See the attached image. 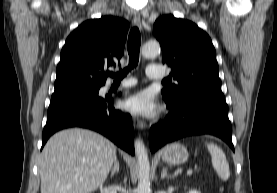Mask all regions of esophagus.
I'll list each match as a JSON object with an SVG mask.
<instances>
[{
  "mask_svg": "<svg viewBox=\"0 0 277 193\" xmlns=\"http://www.w3.org/2000/svg\"><path fill=\"white\" fill-rule=\"evenodd\" d=\"M133 20L135 24L141 29V17L138 11H133ZM133 123L139 129H144L146 127L145 121L140 118H134Z\"/></svg>",
  "mask_w": 277,
  "mask_h": 193,
  "instance_id": "1",
  "label": "esophagus"
}]
</instances>
